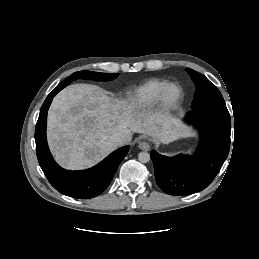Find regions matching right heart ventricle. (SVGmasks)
<instances>
[{
  "label": "right heart ventricle",
  "mask_w": 259,
  "mask_h": 259,
  "mask_svg": "<svg viewBox=\"0 0 259 259\" xmlns=\"http://www.w3.org/2000/svg\"><path fill=\"white\" fill-rule=\"evenodd\" d=\"M168 82L164 79H150L135 87L129 93V101L133 109L146 111L153 108L159 100L160 93Z\"/></svg>",
  "instance_id": "1"
}]
</instances>
